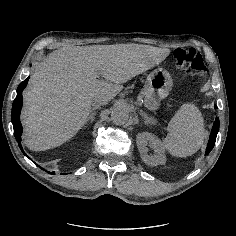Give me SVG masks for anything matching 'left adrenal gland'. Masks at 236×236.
Listing matches in <instances>:
<instances>
[{"instance_id": "left-adrenal-gland-1", "label": "left adrenal gland", "mask_w": 236, "mask_h": 236, "mask_svg": "<svg viewBox=\"0 0 236 236\" xmlns=\"http://www.w3.org/2000/svg\"><path fill=\"white\" fill-rule=\"evenodd\" d=\"M139 114L144 118L145 124H153L155 123V119L153 117H148V115L140 110Z\"/></svg>"}]
</instances>
